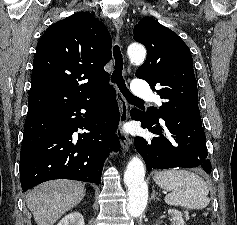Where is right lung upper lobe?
<instances>
[{"mask_svg":"<svg viewBox=\"0 0 237 225\" xmlns=\"http://www.w3.org/2000/svg\"><path fill=\"white\" fill-rule=\"evenodd\" d=\"M111 45L107 28L90 13L51 25L37 44L28 112L69 104L108 86L104 66L111 60Z\"/></svg>","mask_w":237,"mask_h":225,"instance_id":"cb5924a9","label":"right lung upper lobe"}]
</instances>
